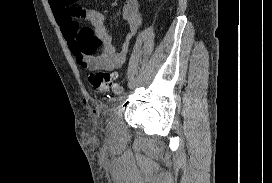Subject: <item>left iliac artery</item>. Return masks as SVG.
<instances>
[{"instance_id":"obj_1","label":"left iliac artery","mask_w":272,"mask_h":183,"mask_svg":"<svg viewBox=\"0 0 272 183\" xmlns=\"http://www.w3.org/2000/svg\"><path fill=\"white\" fill-rule=\"evenodd\" d=\"M123 92H124L123 87H118V88L115 90V94H117V95L122 94Z\"/></svg>"}]
</instances>
